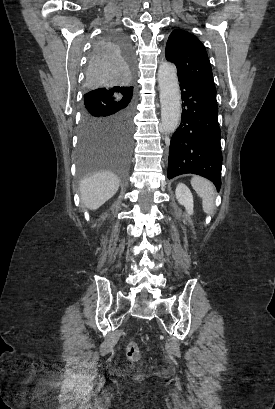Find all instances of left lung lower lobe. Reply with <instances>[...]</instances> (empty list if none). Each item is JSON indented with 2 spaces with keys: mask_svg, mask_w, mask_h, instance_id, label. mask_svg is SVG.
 Instances as JSON below:
<instances>
[{
  "mask_svg": "<svg viewBox=\"0 0 275 409\" xmlns=\"http://www.w3.org/2000/svg\"><path fill=\"white\" fill-rule=\"evenodd\" d=\"M182 121L171 138L168 178L192 173L221 187L222 153L216 91L181 80Z\"/></svg>",
  "mask_w": 275,
  "mask_h": 409,
  "instance_id": "obj_1",
  "label": "left lung lower lobe"
}]
</instances>
